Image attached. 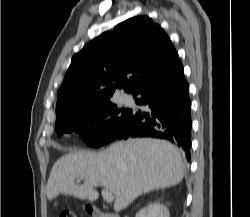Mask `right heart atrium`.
<instances>
[{
  "mask_svg": "<svg viewBox=\"0 0 250 217\" xmlns=\"http://www.w3.org/2000/svg\"><path fill=\"white\" fill-rule=\"evenodd\" d=\"M101 126H102L101 119L96 118V117L88 119L85 123V129L89 133L98 132L101 129Z\"/></svg>",
  "mask_w": 250,
  "mask_h": 217,
  "instance_id": "obj_1",
  "label": "right heart atrium"
}]
</instances>
